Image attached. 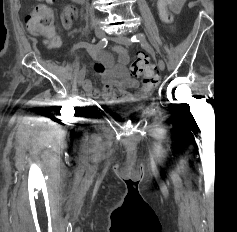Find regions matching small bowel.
Here are the masks:
<instances>
[{"label": "small bowel", "mask_w": 237, "mask_h": 232, "mask_svg": "<svg viewBox=\"0 0 237 232\" xmlns=\"http://www.w3.org/2000/svg\"><path fill=\"white\" fill-rule=\"evenodd\" d=\"M171 9L174 13H178L186 0H171ZM74 9L72 6H66L62 15V25L69 29L72 25L73 19L76 17H69L67 11ZM75 10V9H74ZM91 57L96 61L94 71L102 78L103 88L100 93L93 85L92 81L86 79L84 81V89L86 93L92 97L97 98L101 96L106 102H126L132 100L133 96L130 90L138 88L137 79L132 77L127 69L130 62V54L128 50L122 46H114L112 52L117 55V62H114L111 54L94 49L87 48ZM149 90L142 89L136 95L144 97L149 94Z\"/></svg>", "instance_id": "c3829d8e"}]
</instances>
